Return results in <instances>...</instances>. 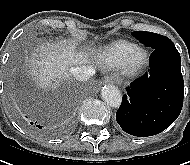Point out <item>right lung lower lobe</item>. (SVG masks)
<instances>
[{
  "mask_svg": "<svg viewBox=\"0 0 190 165\" xmlns=\"http://www.w3.org/2000/svg\"><path fill=\"white\" fill-rule=\"evenodd\" d=\"M20 117L22 118V120H24L28 124L30 123L31 125H33V127L36 129H42L43 128V126L40 123H37L36 120H31L30 118L26 120L23 115H21ZM25 117L27 118V116H25Z\"/></svg>",
  "mask_w": 190,
  "mask_h": 165,
  "instance_id": "obj_1",
  "label": "right lung lower lobe"
}]
</instances>
